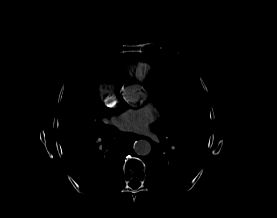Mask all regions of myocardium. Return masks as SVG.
Segmentation results:
<instances>
[{
  "instance_id": "f54148a6",
  "label": "myocardium",
  "mask_w": 277,
  "mask_h": 218,
  "mask_svg": "<svg viewBox=\"0 0 277 218\" xmlns=\"http://www.w3.org/2000/svg\"><path fill=\"white\" fill-rule=\"evenodd\" d=\"M159 74L164 73V78H160L151 83L153 92L160 100L168 99L177 87V70L170 62H161L158 65Z\"/></svg>"
}]
</instances>
